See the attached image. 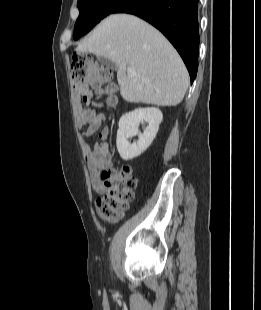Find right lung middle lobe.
<instances>
[{
  "mask_svg": "<svg viewBox=\"0 0 261 310\" xmlns=\"http://www.w3.org/2000/svg\"><path fill=\"white\" fill-rule=\"evenodd\" d=\"M125 0H78L79 17L74 27V39L90 31L100 20L111 14Z\"/></svg>",
  "mask_w": 261,
  "mask_h": 310,
  "instance_id": "dd1d6c3e",
  "label": "right lung middle lobe"
}]
</instances>
